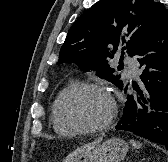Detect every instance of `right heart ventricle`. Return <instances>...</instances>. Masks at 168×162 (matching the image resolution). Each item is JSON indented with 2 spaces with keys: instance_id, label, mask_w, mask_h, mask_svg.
Masks as SVG:
<instances>
[{
  "instance_id": "right-heart-ventricle-1",
  "label": "right heart ventricle",
  "mask_w": 168,
  "mask_h": 162,
  "mask_svg": "<svg viewBox=\"0 0 168 162\" xmlns=\"http://www.w3.org/2000/svg\"><path fill=\"white\" fill-rule=\"evenodd\" d=\"M72 84H74L73 80H69L67 81L62 87L61 89L57 92L52 105H51V112H50V118H51V122L53 125L54 130L56 131L57 134L61 135V136H71L74 135L77 131L69 128L68 126H66L59 118L58 116V112H57V104H58V100L61 96V94Z\"/></svg>"
}]
</instances>
